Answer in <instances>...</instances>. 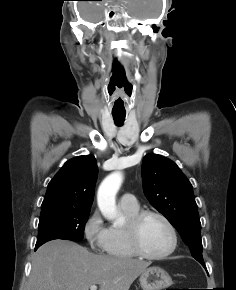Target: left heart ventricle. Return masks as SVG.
Returning <instances> with one entry per match:
<instances>
[{
  "mask_svg": "<svg viewBox=\"0 0 236 290\" xmlns=\"http://www.w3.org/2000/svg\"><path fill=\"white\" fill-rule=\"evenodd\" d=\"M141 244L150 254H160L167 251L171 245V234L167 226L157 217H147L140 230Z\"/></svg>",
  "mask_w": 236,
  "mask_h": 290,
  "instance_id": "left-heart-ventricle-1",
  "label": "left heart ventricle"
}]
</instances>
